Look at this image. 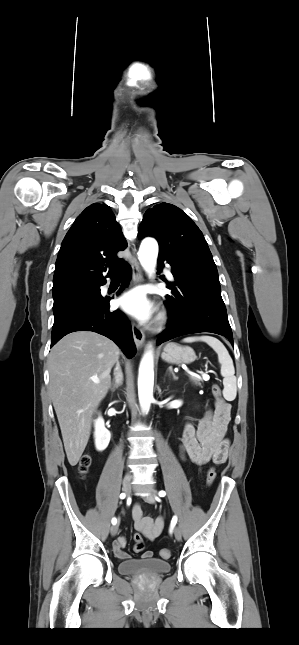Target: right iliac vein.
I'll return each instance as SVG.
<instances>
[{
	"label": "right iliac vein",
	"instance_id": "1",
	"mask_svg": "<svg viewBox=\"0 0 299 645\" xmlns=\"http://www.w3.org/2000/svg\"><path fill=\"white\" fill-rule=\"evenodd\" d=\"M131 480H132V476L130 474H127L123 479V491L127 495H129V493L131 491ZM118 527H119L118 524H115V525L111 526L110 532H111L112 536L117 535Z\"/></svg>",
	"mask_w": 299,
	"mask_h": 645
}]
</instances>
